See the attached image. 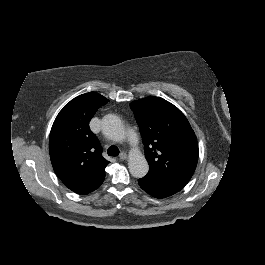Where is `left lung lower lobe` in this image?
Instances as JSON below:
<instances>
[{
    "label": "left lung lower lobe",
    "instance_id": "obj_1",
    "mask_svg": "<svg viewBox=\"0 0 265 265\" xmlns=\"http://www.w3.org/2000/svg\"><path fill=\"white\" fill-rule=\"evenodd\" d=\"M140 187L156 198H164L180 191L186 184L183 183H169L145 176L138 180Z\"/></svg>",
    "mask_w": 265,
    "mask_h": 265
}]
</instances>
